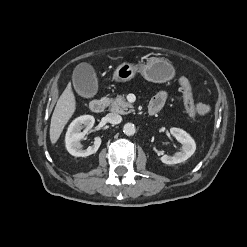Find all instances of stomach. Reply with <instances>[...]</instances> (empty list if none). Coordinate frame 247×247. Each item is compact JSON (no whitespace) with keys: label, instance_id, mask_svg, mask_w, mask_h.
Instances as JSON below:
<instances>
[{"label":"stomach","instance_id":"obj_1","mask_svg":"<svg viewBox=\"0 0 247 247\" xmlns=\"http://www.w3.org/2000/svg\"><path fill=\"white\" fill-rule=\"evenodd\" d=\"M140 73L147 81L164 83L175 75V69L168 60L161 57H150L145 64L133 65L124 62L119 65L113 74L116 82H127Z\"/></svg>","mask_w":247,"mask_h":247}]
</instances>
